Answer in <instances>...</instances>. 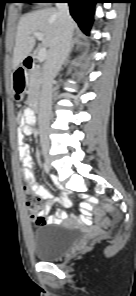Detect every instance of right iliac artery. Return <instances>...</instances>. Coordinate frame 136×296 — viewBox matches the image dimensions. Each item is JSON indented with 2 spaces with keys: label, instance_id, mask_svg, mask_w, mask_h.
Here are the masks:
<instances>
[{
  "label": "right iliac artery",
  "instance_id": "obj_1",
  "mask_svg": "<svg viewBox=\"0 0 136 296\" xmlns=\"http://www.w3.org/2000/svg\"><path fill=\"white\" fill-rule=\"evenodd\" d=\"M43 168H44V170H45L46 173L49 172V166L47 165V163H44L43 164Z\"/></svg>",
  "mask_w": 136,
  "mask_h": 296
}]
</instances>
